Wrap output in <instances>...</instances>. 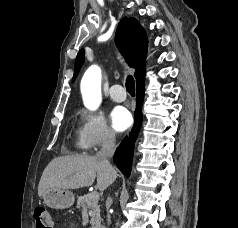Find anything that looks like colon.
<instances>
[{"label":"colon","mask_w":238,"mask_h":228,"mask_svg":"<svg viewBox=\"0 0 238 228\" xmlns=\"http://www.w3.org/2000/svg\"><path fill=\"white\" fill-rule=\"evenodd\" d=\"M36 228H53L51 213L46 207H37L34 211Z\"/></svg>","instance_id":"1"}]
</instances>
